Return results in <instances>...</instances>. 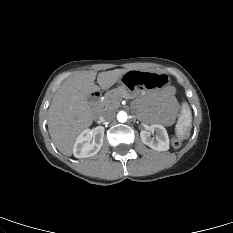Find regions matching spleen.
<instances>
[{
  "instance_id": "obj_1",
  "label": "spleen",
  "mask_w": 233,
  "mask_h": 233,
  "mask_svg": "<svg viewBox=\"0 0 233 233\" xmlns=\"http://www.w3.org/2000/svg\"><path fill=\"white\" fill-rule=\"evenodd\" d=\"M192 122L191 111L186 102L182 104L181 114L178 119L176 126V132L182 138L185 136L186 132L190 129Z\"/></svg>"
}]
</instances>
